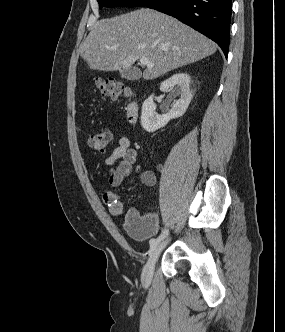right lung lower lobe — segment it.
I'll list each match as a JSON object with an SVG mask.
<instances>
[{
  "label": "right lung lower lobe",
  "instance_id": "right-lung-lower-lobe-1",
  "mask_svg": "<svg viewBox=\"0 0 285 332\" xmlns=\"http://www.w3.org/2000/svg\"><path fill=\"white\" fill-rule=\"evenodd\" d=\"M145 6L171 15L204 34L227 57L232 0H150Z\"/></svg>",
  "mask_w": 285,
  "mask_h": 332
}]
</instances>
